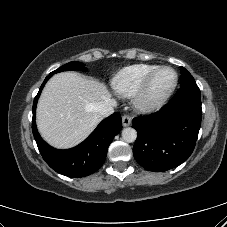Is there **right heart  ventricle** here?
Wrapping results in <instances>:
<instances>
[{
	"label": "right heart ventricle",
	"instance_id": "obj_1",
	"mask_svg": "<svg viewBox=\"0 0 227 227\" xmlns=\"http://www.w3.org/2000/svg\"><path fill=\"white\" fill-rule=\"evenodd\" d=\"M158 67L153 64H134L124 67L112 77L111 87L120 97L134 96L146 77Z\"/></svg>",
	"mask_w": 227,
	"mask_h": 227
}]
</instances>
